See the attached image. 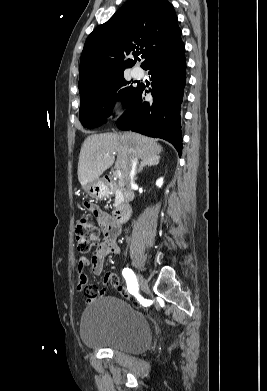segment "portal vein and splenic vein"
I'll list each match as a JSON object with an SVG mask.
<instances>
[{
    "instance_id": "portal-vein-and-splenic-vein-1",
    "label": "portal vein and splenic vein",
    "mask_w": 267,
    "mask_h": 391,
    "mask_svg": "<svg viewBox=\"0 0 267 391\" xmlns=\"http://www.w3.org/2000/svg\"><path fill=\"white\" fill-rule=\"evenodd\" d=\"M114 175L116 176V177H121L122 176V172H121V170H116L115 171V173H114Z\"/></svg>"
}]
</instances>
